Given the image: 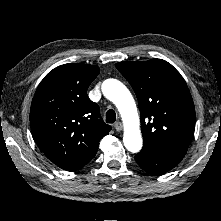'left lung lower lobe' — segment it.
I'll list each match as a JSON object with an SVG mask.
<instances>
[{
	"label": "left lung lower lobe",
	"instance_id": "left-lung-lower-lobe-1",
	"mask_svg": "<svg viewBox=\"0 0 221 221\" xmlns=\"http://www.w3.org/2000/svg\"><path fill=\"white\" fill-rule=\"evenodd\" d=\"M182 158L183 157L160 152L149 146H143L142 150L135 156L138 165L153 175L165 174L179 164Z\"/></svg>",
	"mask_w": 221,
	"mask_h": 221
}]
</instances>
